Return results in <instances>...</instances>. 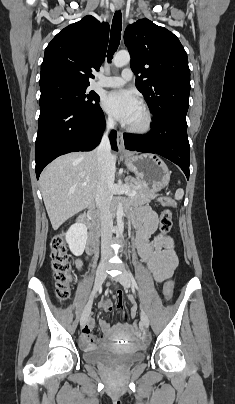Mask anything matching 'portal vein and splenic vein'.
Returning a JSON list of instances; mask_svg holds the SVG:
<instances>
[{"label":"portal vein and splenic vein","instance_id":"portal-vein-and-splenic-vein-1","mask_svg":"<svg viewBox=\"0 0 235 404\" xmlns=\"http://www.w3.org/2000/svg\"><path fill=\"white\" fill-rule=\"evenodd\" d=\"M136 194V191L135 190H133V191H131L129 194H128V196H134Z\"/></svg>","mask_w":235,"mask_h":404}]
</instances>
